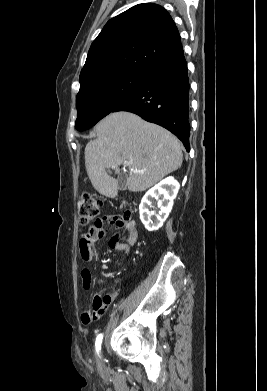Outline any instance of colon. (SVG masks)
I'll list each match as a JSON object with an SVG mask.
<instances>
[{"label":"colon","mask_w":267,"mask_h":391,"mask_svg":"<svg viewBox=\"0 0 267 391\" xmlns=\"http://www.w3.org/2000/svg\"><path fill=\"white\" fill-rule=\"evenodd\" d=\"M101 199L89 193H84L80 196L78 201V217L81 225L86 226L93 223L100 222L99 217ZM120 223L128 220L127 215L117 216ZM90 241L86 236H82L79 241V248L84 254L88 253Z\"/></svg>","instance_id":"obj_1"}]
</instances>
